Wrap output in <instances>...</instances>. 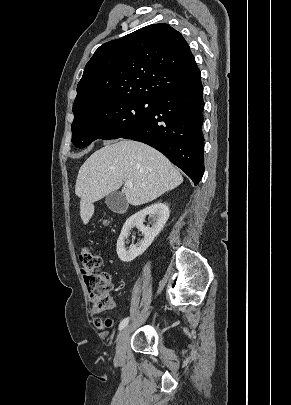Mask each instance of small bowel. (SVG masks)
Masks as SVG:
<instances>
[{"mask_svg": "<svg viewBox=\"0 0 291 405\" xmlns=\"http://www.w3.org/2000/svg\"><path fill=\"white\" fill-rule=\"evenodd\" d=\"M93 323L97 329L105 330L111 328L114 324V321L111 318H106L105 320H102L101 318H95Z\"/></svg>", "mask_w": 291, "mask_h": 405, "instance_id": "small-bowel-1", "label": "small bowel"}]
</instances>
